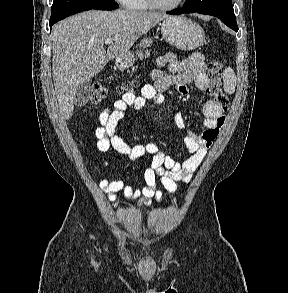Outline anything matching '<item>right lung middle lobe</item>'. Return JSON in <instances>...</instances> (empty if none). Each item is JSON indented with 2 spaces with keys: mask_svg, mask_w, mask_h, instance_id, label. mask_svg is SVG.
Segmentation results:
<instances>
[{
  "mask_svg": "<svg viewBox=\"0 0 288 293\" xmlns=\"http://www.w3.org/2000/svg\"><path fill=\"white\" fill-rule=\"evenodd\" d=\"M118 7L114 0H54L50 21L62 19L81 10H113Z\"/></svg>",
  "mask_w": 288,
  "mask_h": 293,
  "instance_id": "obj_1",
  "label": "right lung middle lobe"
}]
</instances>
